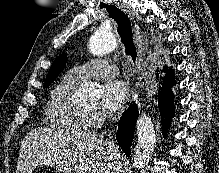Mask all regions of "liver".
Returning a JSON list of instances; mask_svg holds the SVG:
<instances>
[{
  "instance_id": "obj_1",
  "label": "liver",
  "mask_w": 219,
  "mask_h": 173,
  "mask_svg": "<svg viewBox=\"0 0 219 173\" xmlns=\"http://www.w3.org/2000/svg\"><path fill=\"white\" fill-rule=\"evenodd\" d=\"M109 142L90 133L38 128L21 143L16 173H32L39 164L62 173H119L120 154L112 157Z\"/></svg>"
}]
</instances>
